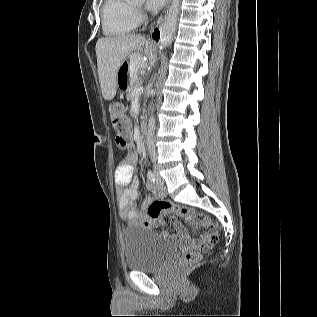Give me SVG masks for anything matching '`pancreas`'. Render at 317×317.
Masks as SVG:
<instances>
[{
    "instance_id": "obj_1",
    "label": "pancreas",
    "mask_w": 317,
    "mask_h": 317,
    "mask_svg": "<svg viewBox=\"0 0 317 317\" xmlns=\"http://www.w3.org/2000/svg\"><path fill=\"white\" fill-rule=\"evenodd\" d=\"M141 86V81L139 79H137V82L131 83L130 86L127 87V98H132L134 89H140Z\"/></svg>"
}]
</instances>
